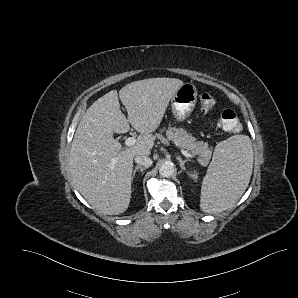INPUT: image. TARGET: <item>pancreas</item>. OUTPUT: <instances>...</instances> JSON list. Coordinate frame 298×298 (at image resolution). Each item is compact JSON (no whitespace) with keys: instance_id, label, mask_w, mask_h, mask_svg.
<instances>
[{"instance_id":"pancreas-1","label":"pancreas","mask_w":298,"mask_h":298,"mask_svg":"<svg viewBox=\"0 0 298 298\" xmlns=\"http://www.w3.org/2000/svg\"><path fill=\"white\" fill-rule=\"evenodd\" d=\"M163 131H165L166 137L161 133L157 134L160 142H164L165 140L172 141L178 147L188 150L194 156H198L199 163L202 166L209 164L213 149L209 146L208 142L198 141L196 137L183 128L170 127Z\"/></svg>"}]
</instances>
